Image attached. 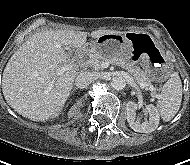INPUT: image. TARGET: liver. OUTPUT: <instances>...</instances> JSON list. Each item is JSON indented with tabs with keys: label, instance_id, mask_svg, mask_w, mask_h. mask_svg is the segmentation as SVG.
<instances>
[{
	"label": "liver",
	"instance_id": "6515ba94",
	"mask_svg": "<svg viewBox=\"0 0 190 165\" xmlns=\"http://www.w3.org/2000/svg\"><path fill=\"white\" fill-rule=\"evenodd\" d=\"M100 29L90 33L97 39L104 34H123ZM87 32L46 29L34 33L9 59L2 76V92L7 103L20 115L33 121L57 117L73 87L79 67L63 74L58 70L70 64L68 48L87 46Z\"/></svg>",
	"mask_w": 190,
	"mask_h": 165
}]
</instances>
